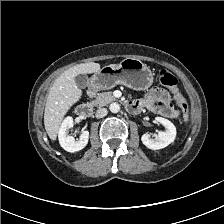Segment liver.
<instances>
[{
    "mask_svg": "<svg viewBox=\"0 0 224 224\" xmlns=\"http://www.w3.org/2000/svg\"><path fill=\"white\" fill-rule=\"evenodd\" d=\"M112 66H116L112 64ZM100 70L98 63L78 64L63 72L50 88L44 111V126L51 140H56L60 124L69 109L82 96L75 77L78 74H91Z\"/></svg>",
    "mask_w": 224,
    "mask_h": 224,
    "instance_id": "obj_1",
    "label": "liver"
}]
</instances>
